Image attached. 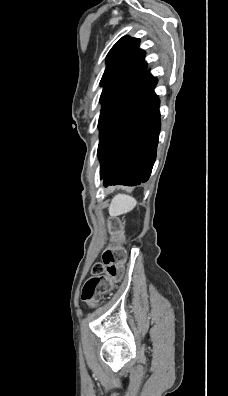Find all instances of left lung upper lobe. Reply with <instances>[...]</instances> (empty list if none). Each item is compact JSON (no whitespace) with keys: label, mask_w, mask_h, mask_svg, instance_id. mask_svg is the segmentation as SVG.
Instances as JSON below:
<instances>
[{"label":"left lung upper lobe","mask_w":228,"mask_h":396,"mask_svg":"<svg viewBox=\"0 0 228 396\" xmlns=\"http://www.w3.org/2000/svg\"><path fill=\"white\" fill-rule=\"evenodd\" d=\"M144 57V51L139 49V39L129 36L122 37L109 51L100 82L103 91L99 128L114 104L144 76L147 70Z\"/></svg>","instance_id":"obj_1"}]
</instances>
